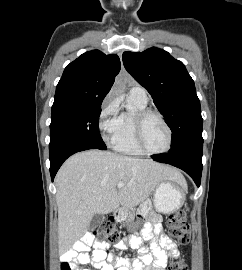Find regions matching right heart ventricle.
Instances as JSON below:
<instances>
[{
  "instance_id": "right-heart-ventricle-1",
  "label": "right heart ventricle",
  "mask_w": 242,
  "mask_h": 270,
  "mask_svg": "<svg viewBox=\"0 0 242 270\" xmlns=\"http://www.w3.org/2000/svg\"><path fill=\"white\" fill-rule=\"evenodd\" d=\"M132 109L123 111L119 115L118 126L112 136V145L120 153L128 155H142L135 141L134 119L138 112L147 109V102L128 97Z\"/></svg>"
}]
</instances>
